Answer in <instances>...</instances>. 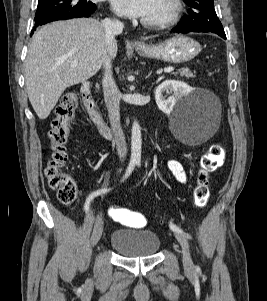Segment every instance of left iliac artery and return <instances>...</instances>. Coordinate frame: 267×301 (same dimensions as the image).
Segmentation results:
<instances>
[{
    "label": "left iliac artery",
    "instance_id": "1",
    "mask_svg": "<svg viewBox=\"0 0 267 301\" xmlns=\"http://www.w3.org/2000/svg\"><path fill=\"white\" fill-rule=\"evenodd\" d=\"M138 165H140V162L137 163ZM170 228L173 230V231H180V232H183V230L181 228H179L178 226H176L175 224H172L170 222ZM187 237H189V235L187 234Z\"/></svg>",
    "mask_w": 267,
    "mask_h": 301
}]
</instances>
